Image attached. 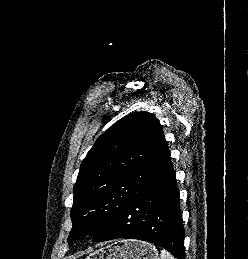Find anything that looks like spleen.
Instances as JSON below:
<instances>
[{
	"mask_svg": "<svg viewBox=\"0 0 248 259\" xmlns=\"http://www.w3.org/2000/svg\"><path fill=\"white\" fill-rule=\"evenodd\" d=\"M160 259H176L172 254H170L167 250L162 249Z\"/></svg>",
	"mask_w": 248,
	"mask_h": 259,
	"instance_id": "obj_1",
	"label": "spleen"
}]
</instances>
